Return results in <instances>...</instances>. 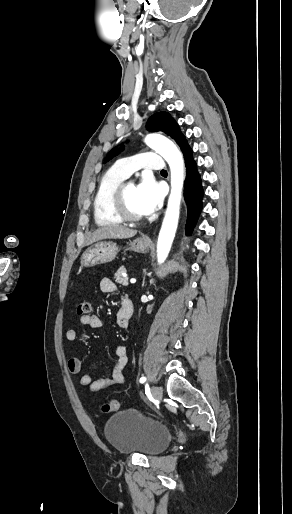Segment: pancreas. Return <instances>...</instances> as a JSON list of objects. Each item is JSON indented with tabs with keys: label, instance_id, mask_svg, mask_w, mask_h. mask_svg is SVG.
Segmentation results:
<instances>
[{
	"label": "pancreas",
	"instance_id": "cf45deb5",
	"mask_svg": "<svg viewBox=\"0 0 292 514\" xmlns=\"http://www.w3.org/2000/svg\"><path fill=\"white\" fill-rule=\"evenodd\" d=\"M127 270L124 266H121L119 270H117L116 274H114L115 282L117 284H122V286H128V278H124L122 274H126Z\"/></svg>",
	"mask_w": 292,
	"mask_h": 514
}]
</instances>
